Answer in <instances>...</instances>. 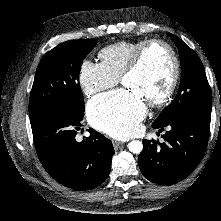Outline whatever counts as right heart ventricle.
Returning a JSON list of instances; mask_svg holds the SVG:
<instances>
[{
  "mask_svg": "<svg viewBox=\"0 0 221 221\" xmlns=\"http://www.w3.org/2000/svg\"><path fill=\"white\" fill-rule=\"evenodd\" d=\"M145 40L135 42L120 41L106 46L99 52L101 65L106 71L117 77L121 78L123 71L130 63L135 50Z\"/></svg>",
  "mask_w": 221,
  "mask_h": 221,
  "instance_id": "1",
  "label": "right heart ventricle"
}]
</instances>
